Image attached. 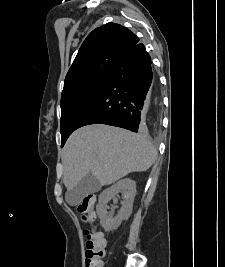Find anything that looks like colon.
<instances>
[{"label": "colon", "mask_w": 225, "mask_h": 267, "mask_svg": "<svg viewBox=\"0 0 225 267\" xmlns=\"http://www.w3.org/2000/svg\"><path fill=\"white\" fill-rule=\"evenodd\" d=\"M95 198L93 195L86 196L78 205V211L85 223H89L93 217ZM83 235L86 238V253L84 267H103L105 255V241L102 233L93 226L84 228Z\"/></svg>", "instance_id": "obj_1"}]
</instances>
